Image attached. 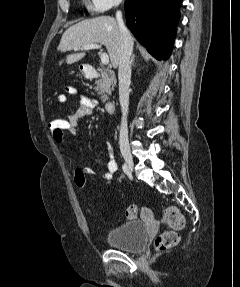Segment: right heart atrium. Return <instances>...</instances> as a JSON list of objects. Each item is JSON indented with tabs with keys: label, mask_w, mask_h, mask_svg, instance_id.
Segmentation results:
<instances>
[{
	"label": "right heart atrium",
	"mask_w": 240,
	"mask_h": 287,
	"mask_svg": "<svg viewBox=\"0 0 240 287\" xmlns=\"http://www.w3.org/2000/svg\"><path fill=\"white\" fill-rule=\"evenodd\" d=\"M122 0H85L87 8L94 13H102L118 6Z\"/></svg>",
	"instance_id": "obj_1"
}]
</instances>
